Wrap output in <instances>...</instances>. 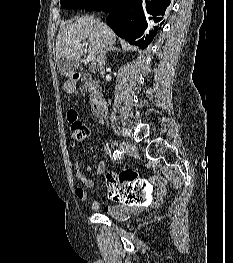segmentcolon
Listing matches in <instances>:
<instances>
[{
    "mask_svg": "<svg viewBox=\"0 0 233 263\" xmlns=\"http://www.w3.org/2000/svg\"><path fill=\"white\" fill-rule=\"evenodd\" d=\"M69 122V135L72 145L82 142L88 135L86 125L78 118L75 110H70L67 115ZM117 174H107L108 199L112 202H126V205H136L142 208L146 202H152L154 186L148 182L143 171L137 169H117Z\"/></svg>",
    "mask_w": 233,
    "mask_h": 263,
    "instance_id": "5ec220e1",
    "label": "colon"
}]
</instances>
